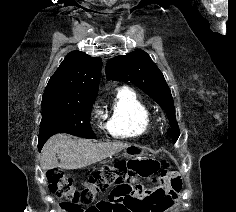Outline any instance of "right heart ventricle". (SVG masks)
I'll use <instances>...</instances> for the list:
<instances>
[{
	"label": "right heart ventricle",
	"mask_w": 236,
	"mask_h": 212,
	"mask_svg": "<svg viewBox=\"0 0 236 212\" xmlns=\"http://www.w3.org/2000/svg\"><path fill=\"white\" fill-rule=\"evenodd\" d=\"M108 133L115 138H132L146 134L152 126L148 104L130 87L116 90L111 108L104 114Z\"/></svg>",
	"instance_id": "right-heart-ventricle-1"
}]
</instances>
